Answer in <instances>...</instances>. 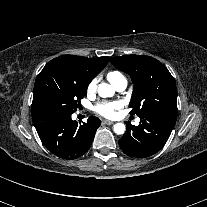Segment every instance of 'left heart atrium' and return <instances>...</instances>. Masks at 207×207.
Masks as SVG:
<instances>
[{
  "label": "left heart atrium",
  "instance_id": "obj_1",
  "mask_svg": "<svg viewBox=\"0 0 207 207\" xmlns=\"http://www.w3.org/2000/svg\"><path fill=\"white\" fill-rule=\"evenodd\" d=\"M120 108V104L116 101L98 104L94 111L106 118L111 117L114 112Z\"/></svg>",
  "mask_w": 207,
  "mask_h": 207
}]
</instances>
